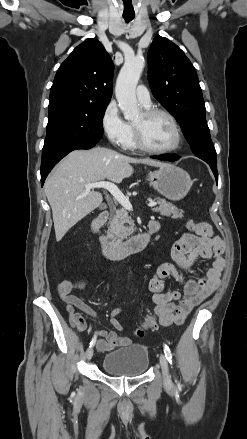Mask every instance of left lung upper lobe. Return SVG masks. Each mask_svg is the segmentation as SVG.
<instances>
[{
  "mask_svg": "<svg viewBox=\"0 0 247 439\" xmlns=\"http://www.w3.org/2000/svg\"><path fill=\"white\" fill-rule=\"evenodd\" d=\"M148 80L154 97L169 111L197 157L217 169L196 70L183 51L156 36L148 51Z\"/></svg>",
  "mask_w": 247,
  "mask_h": 439,
  "instance_id": "obj_1",
  "label": "left lung upper lobe"
}]
</instances>
